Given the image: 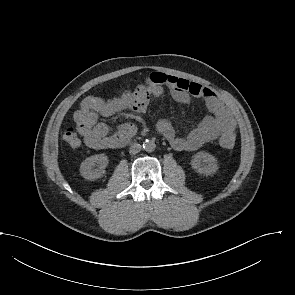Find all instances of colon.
Here are the masks:
<instances>
[{
	"label": "colon",
	"instance_id": "1",
	"mask_svg": "<svg viewBox=\"0 0 295 295\" xmlns=\"http://www.w3.org/2000/svg\"><path fill=\"white\" fill-rule=\"evenodd\" d=\"M63 138L71 148H77L80 145V139L74 129L70 128L64 132ZM236 140L235 129L227 127L220 138V144L225 149L233 148Z\"/></svg>",
	"mask_w": 295,
	"mask_h": 295
}]
</instances>
